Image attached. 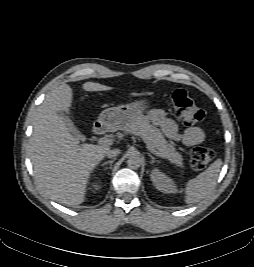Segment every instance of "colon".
Wrapping results in <instances>:
<instances>
[{"label": "colon", "instance_id": "colon-1", "mask_svg": "<svg viewBox=\"0 0 254 267\" xmlns=\"http://www.w3.org/2000/svg\"><path fill=\"white\" fill-rule=\"evenodd\" d=\"M175 115L187 125H193L205 120V112L199 108L185 90H175L171 96ZM214 159V152L207 147L198 146L192 149L190 164L195 170H202Z\"/></svg>", "mask_w": 254, "mask_h": 267}]
</instances>
